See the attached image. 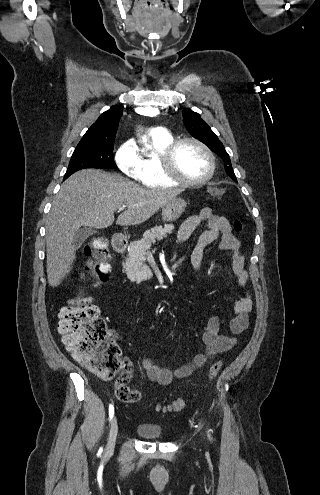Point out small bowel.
Segmentation results:
<instances>
[{
	"label": "small bowel",
	"instance_id": "1",
	"mask_svg": "<svg viewBox=\"0 0 320 495\" xmlns=\"http://www.w3.org/2000/svg\"><path fill=\"white\" fill-rule=\"evenodd\" d=\"M203 224L207 226V229L200 235L191 253L193 272L198 273L200 271L205 248L219 239V249L229 251L232 254V272L237 285L242 289V295L234 304V317L229 325L230 334H221L220 317L212 316L202 332L203 352L195 355L190 362L171 369L157 365L150 356L143 357L141 364L147 377L160 385H168L174 379L186 378L218 354L232 349L237 343L236 335L241 334L248 326V313L252 307L251 294L247 289L248 273L241 252V242L234 235L229 220L216 215L210 208H204L182 223L178 231V240L181 243L186 242L192 233ZM131 304L134 311L135 301L131 300ZM121 373L130 380L132 370L128 362L124 364Z\"/></svg>",
	"mask_w": 320,
	"mask_h": 495
}]
</instances>
